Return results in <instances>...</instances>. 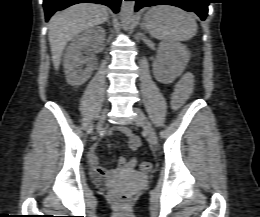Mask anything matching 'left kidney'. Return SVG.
<instances>
[{
  "label": "left kidney",
  "instance_id": "5707ae66",
  "mask_svg": "<svg viewBox=\"0 0 260 217\" xmlns=\"http://www.w3.org/2000/svg\"><path fill=\"white\" fill-rule=\"evenodd\" d=\"M189 54L187 47L181 43L161 42L153 62L155 78L163 84L172 83L185 70L190 59Z\"/></svg>",
  "mask_w": 260,
  "mask_h": 217
}]
</instances>
